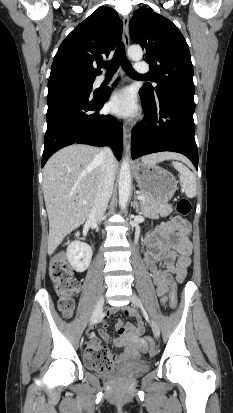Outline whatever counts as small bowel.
<instances>
[{
    "label": "small bowel",
    "mask_w": 233,
    "mask_h": 413,
    "mask_svg": "<svg viewBox=\"0 0 233 413\" xmlns=\"http://www.w3.org/2000/svg\"><path fill=\"white\" fill-rule=\"evenodd\" d=\"M191 249L189 225L186 220L179 217L162 223L146 238L145 263L162 303L166 302L167 293L173 282L184 280L191 263ZM115 312L116 308H112L107 314ZM123 312L132 317L135 323L119 322L117 324L118 332L123 335L117 344L126 348L121 355L111 354L112 359L118 362L137 358L146 350L145 342L141 338L144 332V322L141 316L131 307H124ZM100 338L108 340L109 334L104 329H99L97 334L90 335L85 352L86 361L88 357L104 349L100 346Z\"/></svg>",
    "instance_id": "small-bowel-1"
}]
</instances>
